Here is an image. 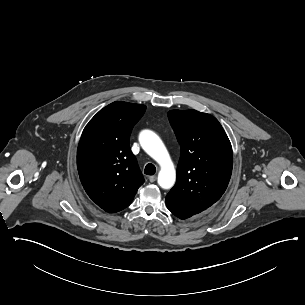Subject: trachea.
Segmentation results:
<instances>
[{
    "label": "trachea",
    "instance_id": "obj_1",
    "mask_svg": "<svg viewBox=\"0 0 305 305\" xmlns=\"http://www.w3.org/2000/svg\"><path fill=\"white\" fill-rule=\"evenodd\" d=\"M155 172H156V167L154 166V164L148 163V164L145 166L144 173H145L146 175H154Z\"/></svg>",
    "mask_w": 305,
    "mask_h": 305
}]
</instances>
